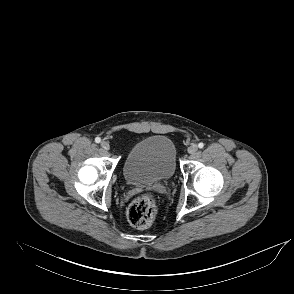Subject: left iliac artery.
Here are the masks:
<instances>
[{
    "label": "left iliac artery",
    "mask_w": 294,
    "mask_h": 294,
    "mask_svg": "<svg viewBox=\"0 0 294 294\" xmlns=\"http://www.w3.org/2000/svg\"><path fill=\"white\" fill-rule=\"evenodd\" d=\"M198 147H199V148H203V147H204V143L200 142V143L198 144Z\"/></svg>",
    "instance_id": "obj_1"
}]
</instances>
